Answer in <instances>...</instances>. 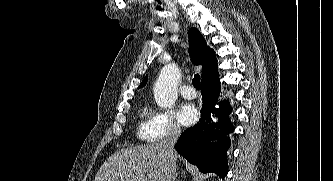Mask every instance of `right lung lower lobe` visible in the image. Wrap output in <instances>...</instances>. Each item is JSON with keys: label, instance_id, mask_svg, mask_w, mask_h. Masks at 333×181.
Here are the masks:
<instances>
[{"label": "right lung lower lobe", "instance_id": "98d812e1", "mask_svg": "<svg viewBox=\"0 0 333 181\" xmlns=\"http://www.w3.org/2000/svg\"><path fill=\"white\" fill-rule=\"evenodd\" d=\"M219 90V79L201 84L202 119L199 124L186 129L181 134L175 149L191 164L196 165L200 171L213 172L224 178L228 172L226 152L230 146V140L224 139V135L232 132V125L228 119L230 109L225 104H221L215 111L216 115L221 118L219 127L222 130L221 133L216 131L217 136L222 139L215 145L211 143V137L217 125L211 124L209 120L210 114L214 112Z\"/></svg>", "mask_w": 333, "mask_h": 181}]
</instances>
